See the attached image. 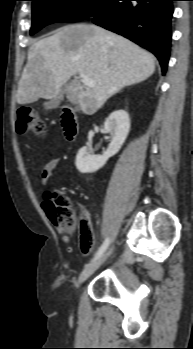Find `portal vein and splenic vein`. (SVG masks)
Masks as SVG:
<instances>
[{"label": "portal vein and splenic vein", "instance_id": "18ae733b", "mask_svg": "<svg viewBox=\"0 0 193 349\" xmlns=\"http://www.w3.org/2000/svg\"><path fill=\"white\" fill-rule=\"evenodd\" d=\"M80 78L82 79V82L85 86H87V87H94L95 86V82L88 75L81 73Z\"/></svg>", "mask_w": 193, "mask_h": 349}]
</instances>
